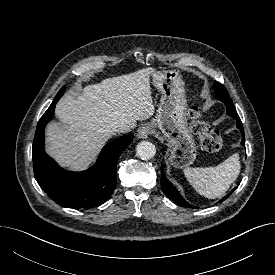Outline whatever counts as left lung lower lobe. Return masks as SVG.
I'll use <instances>...</instances> for the list:
<instances>
[{
    "label": "left lung lower lobe",
    "mask_w": 275,
    "mask_h": 275,
    "mask_svg": "<svg viewBox=\"0 0 275 275\" xmlns=\"http://www.w3.org/2000/svg\"><path fill=\"white\" fill-rule=\"evenodd\" d=\"M222 102L226 105L227 108V114L232 116L233 118L236 119V126L237 128L241 131L242 134V141L241 144L244 145L245 142V135H244V130H243V126H242V122L237 114V112L234 109L233 103L231 99H224L222 100ZM161 187L165 193V195L170 198L171 200L175 201L179 206L182 207H188V208H195L194 206L190 205L188 202H186L180 195V193L178 192V190L173 186V184H171L165 177V173L164 170L161 168ZM235 190V188L225 197H223L219 202L224 201L226 198H228L232 192Z\"/></svg>",
    "instance_id": "0a47b994"
}]
</instances>
